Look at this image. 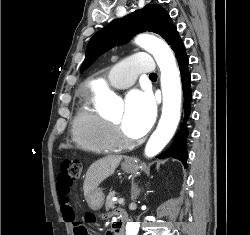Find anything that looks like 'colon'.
Listing matches in <instances>:
<instances>
[{
	"label": "colon",
	"mask_w": 250,
	"mask_h": 235,
	"mask_svg": "<svg viewBox=\"0 0 250 235\" xmlns=\"http://www.w3.org/2000/svg\"><path fill=\"white\" fill-rule=\"evenodd\" d=\"M82 172V163L78 159H66L60 165L58 174V187L64 192H70L74 182L80 177ZM92 220H96L93 216ZM75 235H89L85 224L82 222L74 223Z\"/></svg>",
	"instance_id": "obj_1"
}]
</instances>
